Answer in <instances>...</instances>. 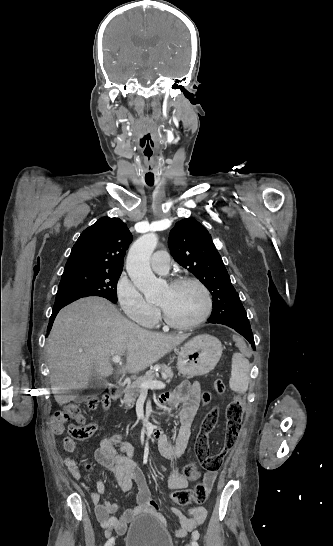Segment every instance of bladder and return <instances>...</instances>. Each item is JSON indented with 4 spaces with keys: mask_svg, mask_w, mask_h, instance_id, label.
I'll return each mask as SVG.
<instances>
[{
    "mask_svg": "<svg viewBox=\"0 0 333 546\" xmlns=\"http://www.w3.org/2000/svg\"><path fill=\"white\" fill-rule=\"evenodd\" d=\"M126 546H174V541L153 515H140L129 525Z\"/></svg>",
    "mask_w": 333,
    "mask_h": 546,
    "instance_id": "1",
    "label": "bladder"
}]
</instances>
